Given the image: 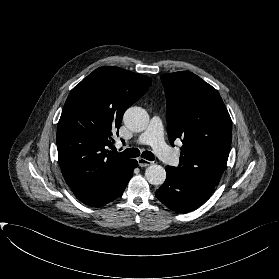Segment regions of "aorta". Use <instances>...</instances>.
I'll use <instances>...</instances> for the list:
<instances>
[{
  "mask_svg": "<svg viewBox=\"0 0 279 279\" xmlns=\"http://www.w3.org/2000/svg\"><path fill=\"white\" fill-rule=\"evenodd\" d=\"M124 124L134 132H142L146 129L149 116L148 113L140 107H130L124 114ZM147 181L152 185H162L166 179L165 169L157 164L150 165L145 171Z\"/></svg>",
  "mask_w": 279,
  "mask_h": 279,
  "instance_id": "aorta-1",
  "label": "aorta"
}]
</instances>
